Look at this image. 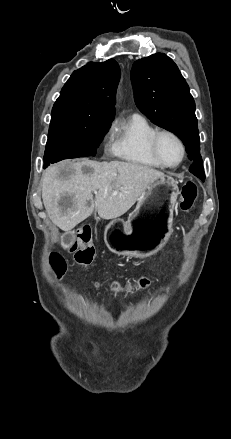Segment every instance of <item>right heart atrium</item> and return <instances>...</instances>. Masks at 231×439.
Instances as JSON below:
<instances>
[{"mask_svg": "<svg viewBox=\"0 0 231 439\" xmlns=\"http://www.w3.org/2000/svg\"><path fill=\"white\" fill-rule=\"evenodd\" d=\"M110 132H111V129L109 128V129L106 131L105 136H104L105 149H106V150H109V149L111 148V144H110V142H109Z\"/></svg>", "mask_w": 231, "mask_h": 439, "instance_id": "d8ad5b80", "label": "right heart atrium"}]
</instances>
